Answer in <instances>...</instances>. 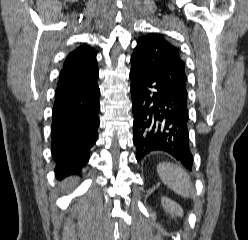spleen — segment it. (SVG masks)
Returning <instances> with one entry per match:
<instances>
[{"instance_id":"3e777b00","label":"spleen","mask_w":248,"mask_h":240,"mask_svg":"<svg viewBox=\"0 0 248 240\" xmlns=\"http://www.w3.org/2000/svg\"><path fill=\"white\" fill-rule=\"evenodd\" d=\"M157 172L163 183L178 195L189 198L193 194L190 176L181 167L163 162L157 165Z\"/></svg>"}]
</instances>
